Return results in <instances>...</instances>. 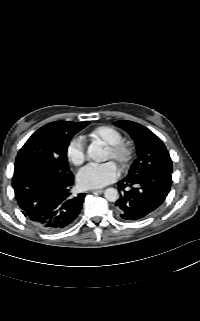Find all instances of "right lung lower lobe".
Instances as JSON below:
<instances>
[{
  "mask_svg": "<svg viewBox=\"0 0 200 321\" xmlns=\"http://www.w3.org/2000/svg\"><path fill=\"white\" fill-rule=\"evenodd\" d=\"M74 176L43 161L14 168L12 187L24 216L46 232H58L77 218L85 194L73 195Z\"/></svg>",
  "mask_w": 200,
  "mask_h": 321,
  "instance_id": "1",
  "label": "right lung lower lobe"
}]
</instances>
